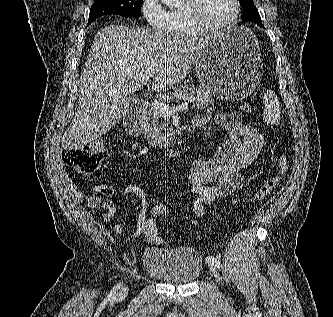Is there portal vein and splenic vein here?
<instances>
[{
    "label": "portal vein and splenic vein",
    "instance_id": "portal-vein-and-splenic-vein-1",
    "mask_svg": "<svg viewBox=\"0 0 333 317\" xmlns=\"http://www.w3.org/2000/svg\"><path fill=\"white\" fill-rule=\"evenodd\" d=\"M194 101H195V98H192V97L185 98V101L183 103L179 104V105L169 106V105L162 104L160 109H161V112H162L163 115L168 116V115H171L174 112L187 109L189 103L194 102Z\"/></svg>",
    "mask_w": 333,
    "mask_h": 317
}]
</instances>
